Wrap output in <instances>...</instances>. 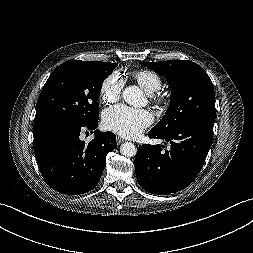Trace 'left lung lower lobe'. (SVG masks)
<instances>
[{"label": "left lung lower lobe", "mask_w": 253, "mask_h": 253, "mask_svg": "<svg viewBox=\"0 0 253 253\" xmlns=\"http://www.w3.org/2000/svg\"><path fill=\"white\" fill-rule=\"evenodd\" d=\"M214 122L198 120L182 124L169 134L150 130V138L170 143L139 146L135 171L140 186L151 194L175 193L186 188L200 172L212 145ZM166 144V143H165Z\"/></svg>", "instance_id": "obj_1"}]
</instances>
